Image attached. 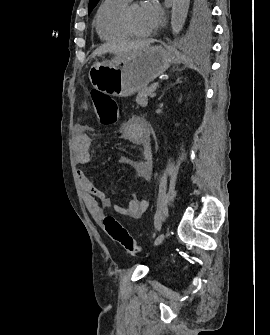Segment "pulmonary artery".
I'll return each instance as SVG.
<instances>
[{
  "mask_svg": "<svg viewBox=\"0 0 270 335\" xmlns=\"http://www.w3.org/2000/svg\"><path fill=\"white\" fill-rule=\"evenodd\" d=\"M123 2H126V3H132L133 2V0H122Z\"/></svg>",
  "mask_w": 270,
  "mask_h": 335,
  "instance_id": "pulmonary-artery-1",
  "label": "pulmonary artery"
}]
</instances>
